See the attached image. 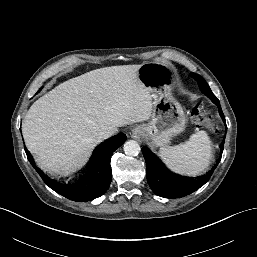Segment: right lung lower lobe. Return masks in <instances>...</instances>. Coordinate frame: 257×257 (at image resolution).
<instances>
[{
	"label": "right lung lower lobe",
	"instance_id": "1",
	"mask_svg": "<svg viewBox=\"0 0 257 257\" xmlns=\"http://www.w3.org/2000/svg\"><path fill=\"white\" fill-rule=\"evenodd\" d=\"M126 139L125 134L119 133L96 147L86 169L71 183L48 177L35 165L30 153L25 151L31 165L51 189L70 200L85 202L102 196L109 188L112 178L111 155Z\"/></svg>",
	"mask_w": 257,
	"mask_h": 257
}]
</instances>
